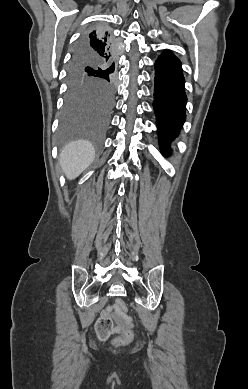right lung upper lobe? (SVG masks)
I'll use <instances>...</instances> for the list:
<instances>
[{"label":"right lung upper lobe","instance_id":"obj_1","mask_svg":"<svg viewBox=\"0 0 248 389\" xmlns=\"http://www.w3.org/2000/svg\"><path fill=\"white\" fill-rule=\"evenodd\" d=\"M104 33H106V32H103L100 30H94L91 33H88L84 37V47L89 52H91V54L94 58H97V59H100V60H103L105 62H108V63L115 65L114 59L116 57V52H117L116 47L114 44H112L113 47L108 48L106 50V47H108V45H107V41H105L103 39ZM95 48H104V51L100 50L98 52Z\"/></svg>","mask_w":248,"mask_h":389}]
</instances>
